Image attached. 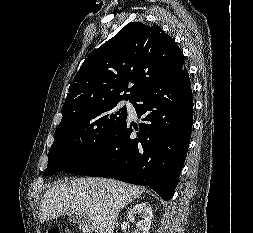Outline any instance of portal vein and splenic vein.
<instances>
[{
    "mask_svg": "<svg viewBox=\"0 0 253 233\" xmlns=\"http://www.w3.org/2000/svg\"><path fill=\"white\" fill-rule=\"evenodd\" d=\"M89 214L93 215V214H95V211L94 210H89Z\"/></svg>",
    "mask_w": 253,
    "mask_h": 233,
    "instance_id": "obj_1",
    "label": "portal vein and splenic vein"
}]
</instances>
